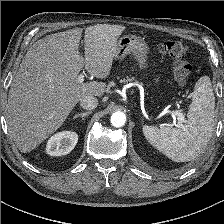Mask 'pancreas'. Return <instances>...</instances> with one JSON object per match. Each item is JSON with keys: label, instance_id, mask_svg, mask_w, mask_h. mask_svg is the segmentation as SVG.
I'll return each mask as SVG.
<instances>
[{"label": "pancreas", "instance_id": "1", "mask_svg": "<svg viewBox=\"0 0 224 224\" xmlns=\"http://www.w3.org/2000/svg\"><path fill=\"white\" fill-rule=\"evenodd\" d=\"M127 80L132 81V80H134V77H132V78L127 77Z\"/></svg>", "mask_w": 224, "mask_h": 224}]
</instances>
